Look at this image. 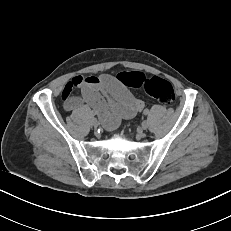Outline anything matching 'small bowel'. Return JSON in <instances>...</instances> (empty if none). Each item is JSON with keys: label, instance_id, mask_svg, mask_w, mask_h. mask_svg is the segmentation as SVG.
<instances>
[{"label": "small bowel", "instance_id": "small-bowel-1", "mask_svg": "<svg viewBox=\"0 0 231 231\" xmlns=\"http://www.w3.org/2000/svg\"><path fill=\"white\" fill-rule=\"evenodd\" d=\"M75 89H80L79 96L73 94ZM61 95L67 110L86 104L109 130L115 129L122 119L133 118L145 106L126 86L108 74L87 77L77 75L64 85Z\"/></svg>", "mask_w": 231, "mask_h": 231}]
</instances>
